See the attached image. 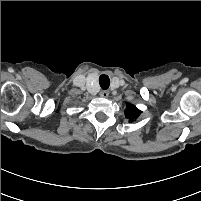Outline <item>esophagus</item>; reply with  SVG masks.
<instances>
[{
	"label": "esophagus",
	"mask_w": 201,
	"mask_h": 201,
	"mask_svg": "<svg viewBox=\"0 0 201 201\" xmlns=\"http://www.w3.org/2000/svg\"><path fill=\"white\" fill-rule=\"evenodd\" d=\"M108 95H109V91H107V90H103V91L100 92L101 97L106 98V97H108Z\"/></svg>",
	"instance_id": "1"
}]
</instances>
